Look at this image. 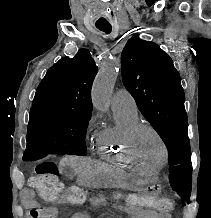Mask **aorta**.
I'll use <instances>...</instances> for the list:
<instances>
[{
  "mask_svg": "<svg viewBox=\"0 0 211 218\" xmlns=\"http://www.w3.org/2000/svg\"><path fill=\"white\" fill-rule=\"evenodd\" d=\"M120 63L110 60L99 70L92 87L93 106L102 112L109 108L110 96L118 76Z\"/></svg>",
  "mask_w": 211,
  "mask_h": 218,
  "instance_id": "762f6f07",
  "label": "aorta"
}]
</instances>
